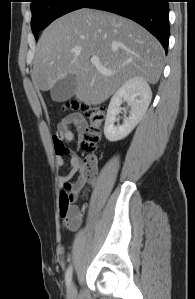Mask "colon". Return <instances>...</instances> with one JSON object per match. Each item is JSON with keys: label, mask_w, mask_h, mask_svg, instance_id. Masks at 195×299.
Wrapping results in <instances>:
<instances>
[{"label": "colon", "mask_w": 195, "mask_h": 299, "mask_svg": "<svg viewBox=\"0 0 195 299\" xmlns=\"http://www.w3.org/2000/svg\"><path fill=\"white\" fill-rule=\"evenodd\" d=\"M73 110H80L89 120V127L86 129L80 147L85 151H92L97 146L101 138V126L106 115V106L103 104L91 105L77 101L70 102L67 106ZM93 158L85 160L82 168V177L79 182L68 184V192H63L60 196V213L62 217H76L79 210L75 204L76 196L81 191L83 184L90 182L94 178V170L91 165Z\"/></svg>", "instance_id": "colon-1"}]
</instances>
